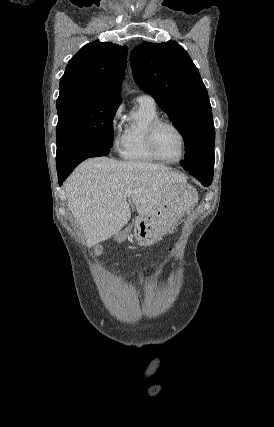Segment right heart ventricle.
I'll use <instances>...</instances> for the list:
<instances>
[{"instance_id": "right-heart-ventricle-1", "label": "right heart ventricle", "mask_w": 274, "mask_h": 427, "mask_svg": "<svg viewBox=\"0 0 274 427\" xmlns=\"http://www.w3.org/2000/svg\"><path fill=\"white\" fill-rule=\"evenodd\" d=\"M159 119L156 108L139 105L130 116L118 142V153L126 161L160 163L147 146V131Z\"/></svg>"}]
</instances>
